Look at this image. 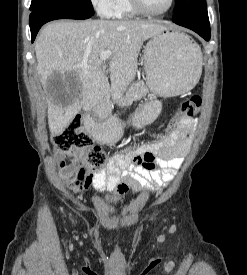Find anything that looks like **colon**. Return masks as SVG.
<instances>
[{
    "label": "colon",
    "instance_id": "5ec220e1",
    "mask_svg": "<svg viewBox=\"0 0 247 275\" xmlns=\"http://www.w3.org/2000/svg\"><path fill=\"white\" fill-rule=\"evenodd\" d=\"M202 99L198 95H193L182 102L172 120L171 126H174L180 118H191L197 114L201 108ZM54 146L62 151L71 154L74 157H80L88 165L92 172H98L105 166L107 157L105 152L99 147L93 145L92 138L83 129L80 118H75L63 131L53 137ZM129 190L126 184H120L118 192L124 194Z\"/></svg>",
    "mask_w": 247,
    "mask_h": 275
}]
</instances>
